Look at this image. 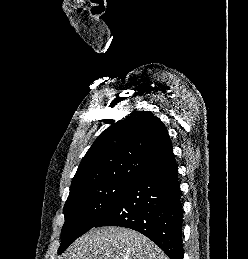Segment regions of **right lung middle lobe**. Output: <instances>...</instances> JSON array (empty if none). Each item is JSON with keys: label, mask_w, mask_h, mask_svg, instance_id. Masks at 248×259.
<instances>
[{"label": "right lung middle lobe", "mask_w": 248, "mask_h": 259, "mask_svg": "<svg viewBox=\"0 0 248 259\" xmlns=\"http://www.w3.org/2000/svg\"><path fill=\"white\" fill-rule=\"evenodd\" d=\"M132 182L111 180L70 190L64 205L61 254L72 242L99 223L115 206Z\"/></svg>", "instance_id": "right-lung-middle-lobe-1"}]
</instances>
